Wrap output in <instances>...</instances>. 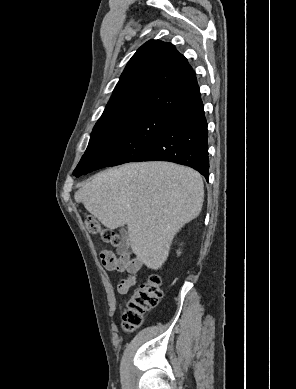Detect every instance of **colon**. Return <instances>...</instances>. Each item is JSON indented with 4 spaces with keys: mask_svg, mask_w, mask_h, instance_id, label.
<instances>
[{
    "mask_svg": "<svg viewBox=\"0 0 296 389\" xmlns=\"http://www.w3.org/2000/svg\"><path fill=\"white\" fill-rule=\"evenodd\" d=\"M88 231L99 235L103 242L118 246L121 242L119 234L111 228L105 227L92 216L85 220ZM108 263L113 264V259L108 258ZM162 282L159 276L152 275L141 282L129 296L122 314L123 328L131 332L139 327L144 315L154 308L162 298Z\"/></svg>",
    "mask_w": 296,
    "mask_h": 389,
    "instance_id": "colon-1",
    "label": "colon"
}]
</instances>
